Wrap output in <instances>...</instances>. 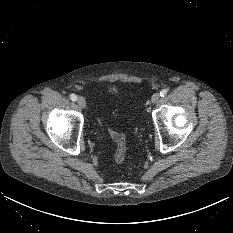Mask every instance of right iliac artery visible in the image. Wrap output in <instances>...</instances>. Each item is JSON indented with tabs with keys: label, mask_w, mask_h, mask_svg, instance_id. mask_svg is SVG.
Segmentation results:
<instances>
[{
	"label": "right iliac artery",
	"mask_w": 233,
	"mask_h": 233,
	"mask_svg": "<svg viewBox=\"0 0 233 233\" xmlns=\"http://www.w3.org/2000/svg\"><path fill=\"white\" fill-rule=\"evenodd\" d=\"M70 99L72 100V101H76L77 100V96L75 95V94H70Z\"/></svg>",
	"instance_id": "82829eb1"
}]
</instances>
